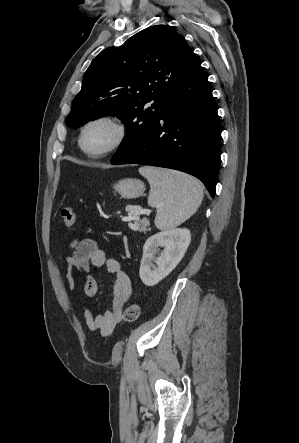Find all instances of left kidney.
<instances>
[{
    "instance_id": "5707ae66",
    "label": "left kidney",
    "mask_w": 299,
    "mask_h": 443,
    "mask_svg": "<svg viewBox=\"0 0 299 443\" xmlns=\"http://www.w3.org/2000/svg\"><path fill=\"white\" fill-rule=\"evenodd\" d=\"M190 241L191 234L186 228L164 230L149 237L143 247L139 270L142 282L146 286H154L169 275L183 258ZM160 247L164 249L155 258Z\"/></svg>"
}]
</instances>
